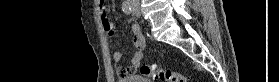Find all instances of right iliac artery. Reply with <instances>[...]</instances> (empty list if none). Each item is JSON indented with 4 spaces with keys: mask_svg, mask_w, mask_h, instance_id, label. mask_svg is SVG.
<instances>
[{
    "mask_svg": "<svg viewBox=\"0 0 279 82\" xmlns=\"http://www.w3.org/2000/svg\"><path fill=\"white\" fill-rule=\"evenodd\" d=\"M122 10L127 15L131 13V5L128 0L122 3Z\"/></svg>",
    "mask_w": 279,
    "mask_h": 82,
    "instance_id": "82829eb1",
    "label": "right iliac artery"
}]
</instances>
